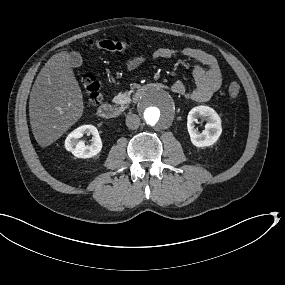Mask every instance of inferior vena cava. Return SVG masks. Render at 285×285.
<instances>
[{
  "mask_svg": "<svg viewBox=\"0 0 285 285\" xmlns=\"http://www.w3.org/2000/svg\"><path fill=\"white\" fill-rule=\"evenodd\" d=\"M126 125L129 129H137L140 126V118L136 114H129L126 117Z\"/></svg>",
  "mask_w": 285,
  "mask_h": 285,
  "instance_id": "1",
  "label": "inferior vena cava"
}]
</instances>
